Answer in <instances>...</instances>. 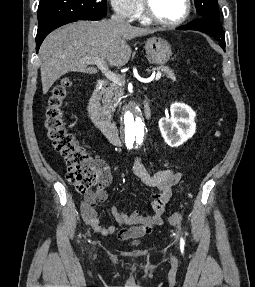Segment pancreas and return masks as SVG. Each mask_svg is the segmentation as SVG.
I'll use <instances>...</instances> for the list:
<instances>
[{"instance_id": "1", "label": "pancreas", "mask_w": 255, "mask_h": 287, "mask_svg": "<svg viewBox=\"0 0 255 287\" xmlns=\"http://www.w3.org/2000/svg\"><path fill=\"white\" fill-rule=\"evenodd\" d=\"M153 70H157V72H164V76H166V78H170V80L176 82L175 74H173L172 70L167 68V66H159V68H153ZM147 72L150 74L152 70H147ZM123 88L124 86L110 84L109 88L104 90L102 98L104 116H111L112 112H115V108H117V104L121 102V96L124 94Z\"/></svg>"}]
</instances>
